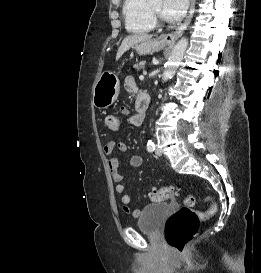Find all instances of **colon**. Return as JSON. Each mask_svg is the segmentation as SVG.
Wrapping results in <instances>:
<instances>
[{
  "label": "colon",
  "instance_id": "5ec220e1",
  "mask_svg": "<svg viewBox=\"0 0 261 273\" xmlns=\"http://www.w3.org/2000/svg\"><path fill=\"white\" fill-rule=\"evenodd\" d=\"M105 126L110 130H117L120 126V116L111 114L105 117ZM178 193V188L173 185L153 189L149 197L153 202H162L172 199ZM206 201L209 207L204 212H199L192 207L196 199L193 195H187L184 200L185 206L173 213L165 226V239L168 245L176 252H182L186 246L196 237L201 222L213 216L217 212V204L211 197Z\"/></svg>",
  "mask_w": 261,
  "mask_h": 273
}]
</instances>
